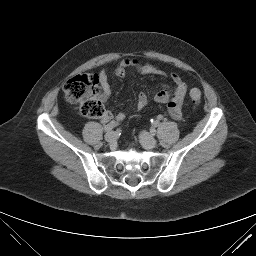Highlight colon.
I'll list each match as a JSON object with an SVG mask.
<instances>
[{"mask_svg":"<svg viewBox=\"0 0 256 256\" xmlns=\"http://www.w3.org/2000/svg\"><path fill=\"white\" fill-rule=\"evenodd\" d=\"M99 78L94 74H80L68 79L63 86L65 100L79 105L82 115L89 118H102L106 114L104 105L99 100ZM194 105L200 103L201 92L197 88L190 90Z\"/></svg>","mask_w":256,"mask_h":256,"instance_id":"colon-1","label":"colon"}]
</instances>
